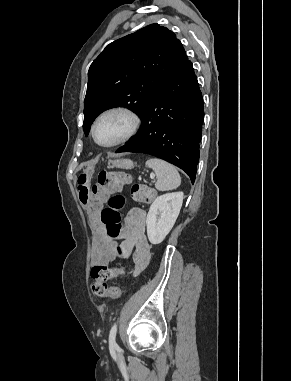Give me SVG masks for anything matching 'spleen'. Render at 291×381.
Wrapping results in <instances>:
<instances>
[{
  "instance_id": "3e777b00",
  "label": "spleen",
  "mask_w": 291,
  "mask_h": 381,
  "mask_svg": "<svg viewBox=\"0 0 291 381\" xmlns=\"http://www.w3.org/2000/svg\"><path fill=\"white\" fill-rule=\"evenodd\" d=\"M146 165L156 173L157 181L155 187L157 190L168 191L180 186L181 177L177 169L170 163L161 159L150 158L146 161Z\"/></svg>"
}]
</instances>
